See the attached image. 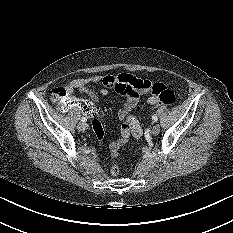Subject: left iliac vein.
I'll return each instance as SVG.
<instances>
[{
	"label": "left iliac vein",
	"instance_id": "1",
	"mask_svg": "<svg viewBox=\"0 0 233 233\" xmlns=\"http://www.w3.org/2000/svg\"><path fill=\"white\" fill-rule=\"evenodd\" d=\"M151 132H152L153 135H158L159 132H160V126H159L158 124H155V125L152 127Z\"/></svg>",
	"mask_w": 233,
	"mask_h": 233
}]
</instances>
